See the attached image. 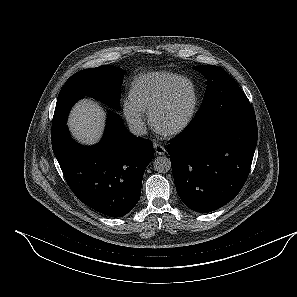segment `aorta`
<instances>
[{
	"instance_id": "obj_1",
	"label": "aorta",
	"mask_w": 297,
	"mask_h": 297,
	"mask_svg": "<svg viewBox=\"0 0 297 297\" xmlns=\"http://www.w3.org/2000/svg\"><path fill=\"white\" fill-rule=\"evenodd\" d=\"M153 167L159 173H166L171 169V161L168 157L159 156L153 161Z\"/></svg>"
}]
</instances>
